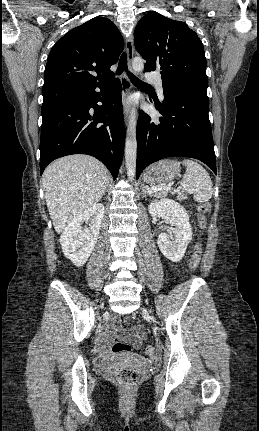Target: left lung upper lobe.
I'll use <instances>...</instances> for the list:
<instances>
[{
	"mask_svg": "<svg viewBox=\"0 0 259 431\" xmlns=\"http://www.w3.org/2000/svg\"><path fill=\"white\" fill-rule=\"evenodd\" d=\"M134 42L146 60L145 71H161L163 88L207 95L204 47L186 23L149 13L139 20Z\"/></svg>",
	"mask_w": 259,
	"mask_h": 431,
	"instance_id": "obj_1",
	"label": "left lung upper lobe"
}]
</instances>
